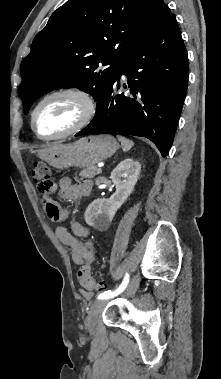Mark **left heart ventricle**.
Here are the masks:
<instances>
[{
  "mask_svg": "<svg viewBox=\"0 0 221 379\" xmlns=\"http://www.w3.org/2000/svg\"><path fill=\"white\" fill-rule=\"evenodd\" d=\"M81 112V103L73 97L52 98L39 109L35 119L36 130L43 136L60 133L75 124Z\"/></svg>",
  "mask_w": 221,
  "mask_h": 379,
  "instance_id": "obj_1",
  "label": "left heart ventricle"
}]
</instances>
